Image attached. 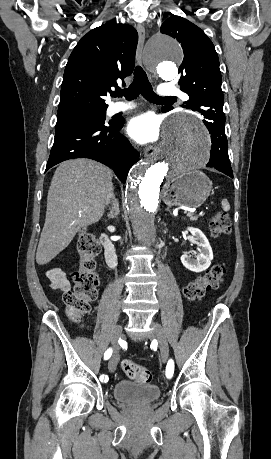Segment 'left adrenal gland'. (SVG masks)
Instances as JSON below:
<instances>
[{"mask_svg": "<svg viewBox=\"0 0 271 459\" xmlns=\"http://www.w3.org/2000/svg\"><path fill=\"white\" fill-rule=\"evenodd\" d=\"M167 212H170L169 208H166Z\"/></svg>", "mask_w": 271, "mask_h": 459, "instance_id": "left-adrenal-gland-1", "label": "left adrenal gland"}]
</instances>
